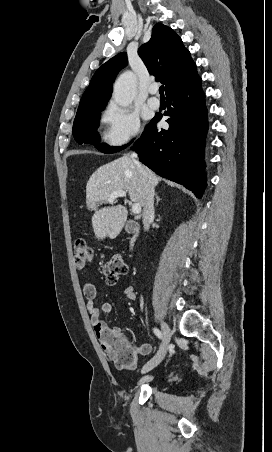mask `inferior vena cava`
<instances>
[{"instance_id":"inferior-vena-cava-1","label":"inferior vena cava","mask_w":272,"mask_h":452,"mask_svg":"<svg viewBox=\"0 0 272 452\" xmlns=\"http://www.w3.org/2000/svg\"><path fill=\"white\" fill-rule=\"evenodd\" d=\"M131 158L140 174L142 180V198H143V226L147 231L150 227V222L154 219V194L155 189L152 184L148 172L137 160V154L132 153Z\"/></svg>"}]
</instances>
